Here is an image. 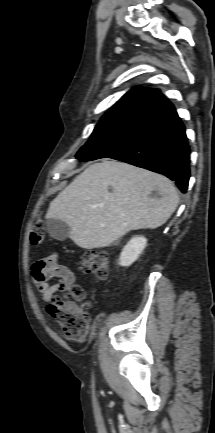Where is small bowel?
<instances>
[{"mask_svg": "<svg viewBox=\"0 0 215 433\" xmlns=\"http://www.w3.org/2000/svg\"><path fill=\"white\" fill-rule=\"evenodd\" d=\"M31 278L45 302L56 292H65L75 283L73 271L58 262V255L52 253L37 260L31 267Z\"/></svg>", "mask_w": 215, "mask_h": 433, "instance_id": "small-bowel-1", "label": "small bowel"}]
</instances>
